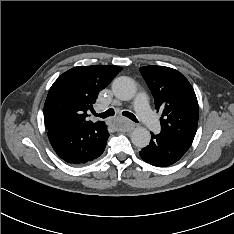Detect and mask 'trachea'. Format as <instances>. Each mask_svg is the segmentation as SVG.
I'll return each mask as SVG.
<instances>
[{
	"mask_svg": "<svg viewBox=\"0 0 234 234\" xmlns=\"http://www.w3.org/2000/svg\"><path fill=\"white\" fill-rule=\"evenodd\" d=\"M93 114H94V116H96V117H100V118H107V117H110V116H113L114 115V110L113 109H108L107 111H105V112H103V113H99V114H97L96 112H93ZM122 114L124 115V116H126L127 118H129V119H131L132 121H134V122H138V120L136 119V117L132 114V113H130V112H128V111H124V112H122Z\"/></svg>",
	"mask_w": 234,
	"mask_h": 234,
	"instance_id": "1",
	"label": "trachea"
}]
</instances>
